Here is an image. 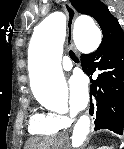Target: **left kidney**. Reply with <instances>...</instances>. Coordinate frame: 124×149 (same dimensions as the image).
<instances>
[{"mask_svg": "<svg viewBox=\"0 0 124 149\" xmlns=\"http://www.w3.org/2000/svg\"><path fill=\"white\" fill-rule=\"evenodd\" d=\"M99 149H113V147L102 146V147H99Z\"/></svg>", "mask_w": 124, "mask_h": 149, "instance_id": "1", "label": "left kidney"}]
</instances>
